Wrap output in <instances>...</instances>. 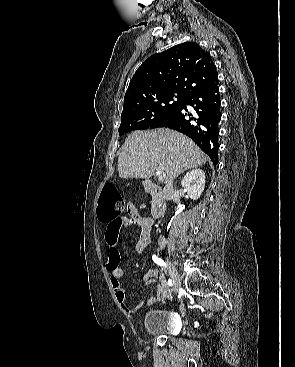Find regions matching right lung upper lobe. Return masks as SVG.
Listing matches in <instances>:
<instances>
[{"label": "right lung upper lobe", "instance_id": "right-lung-upper-lobe-1", "mask_svg": "<svg viewBox=\"0 0 295 367\" xmlns=\"http://www.w3.org/2000/svg\"><path fill=\"white\" fill-rule=\"evenodd\" d=\"M217 78L210 54L185 42L149 57L133 75L124 97L123 112L136 101L163 94L188 96Z\"/></svg>", "mask_w": 295, "mask_h": 367}]
</instances>
